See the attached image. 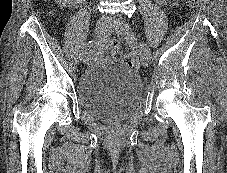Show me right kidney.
I'll return each instance as SVG.
<instances>
[{"label":"right kidney","mask_w":227,"mask_h":173,"mask_svg":"<svg viewBox=\"0 0 227 173\" xmlns=\"http://www.w3.org/2000/svg\"><path fill=\"white\" fill-rule=\"evenodd\" d=\"M59 2L60 5H67V4H72L73 0H56Z\"/></svg>","instance_id":"right-kidney-1"}]
</instances>
